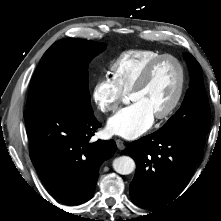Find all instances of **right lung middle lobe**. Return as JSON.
Here are the masks:
<instances>
[{"label": "right lung middle lobe", "instance_id": "dd1d6c3e", "mask_svg": "<svg viewBox=\"0 0 221 221\" xmlns=\"http://www.w3.org/2000/svg\"><path fill=\"white\" fill-rule=\"evenodd\" d=\"M104 46L88 40L66 38L43 55L30 84L27 109L42 105L93 114L88 65Z\"/></svg>", "mask_w": 221, "mask_h": 221}]
</instances>
